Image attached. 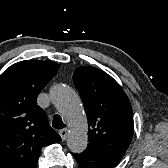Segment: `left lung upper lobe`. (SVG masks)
<instances>
[{
    "instance_id": "5c2ea615",
    "label": "left lung upper lobe",
    "mask_w": 168,
    "mask_h": 168,
    "mask_svg": "<svg viewBox=\"0 0 168 168\" xmlns=\"http://www.w3.org/2000/svg\"><path fill=\"white\" fill-rule=\"evenodd\" d=\"M73 82L78 90L90 126L87 149L119 162L134 132L130 101L119 84L100 69H75Z\"/></svg>"
}]
</instances>
